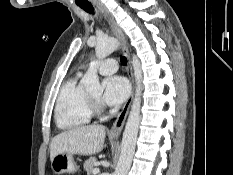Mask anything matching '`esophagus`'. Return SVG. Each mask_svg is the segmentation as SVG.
Returning <instances> with one entry per match:
<instances>
[{
	"label": "esophagus",
	"instance_id": "34e87169",
	"mask_svg": "<svg viewBox=\"0 0 233 175\" xmlns=\"http://www.w3.org/2000/svg\"><path fill=\"white\" fill-rule=\"evenodd\" d=\"M94 3L97 6V8L104 14L105 18L107 19L108 23L110 24L111 29H112L113 33L115 34V36L120 41L121 46H122V51L124 52V54L126 55L127 60H128L127 74H128V77H129V79L131 81L132 91H131V94H130L128 100L124 104L121 112L119 113L117 119L115 120V122H114V124H113V126L111 127V130H110L111 134L119 135L121 133L123 127H124L125 120H126V117L128 115L129 108H130V105H131V102H132V99H133L134 83H133L132 65H131L128 46H127V41H126L125 35L122 32L121 28L116 23L114 18L103 8V6L100 3L96 2V1Z\"/></svg>",
	"mask_w": 233,
	"mask_h": 175
}]
</instances>
